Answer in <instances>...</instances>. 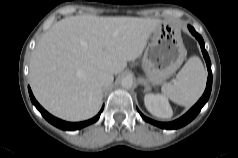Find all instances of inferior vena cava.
<instances>
[{"label":"inferior vena cava","mask_w":238,"mask_h":158,"mask_svg":"<svg viewBox=\"0 0 238 158\" xmlns=\"http://www.w3.org/2000/svg\"><path fill=\"white\" fill-rule=\"evenodd\" d=\"M97 80L101 86H109L112 84L114 77L113 74L107 70H101L97 74Z\"/></svg>","instance_id":"obj_1"}]
</instances>
